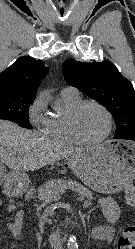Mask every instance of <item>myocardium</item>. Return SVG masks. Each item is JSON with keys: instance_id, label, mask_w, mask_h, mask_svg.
Instances as JSON below:
<instances>
[{"instance_id": "f54148a6", "label": "myocardium", "mask_w": 135, "mask_h": 249, "mask_svg": "<svg viewBox=\"0 0 135 249\" xmlns=\"http://www.w3.org/2000/svg\"><path fill=\"white\" fill-rule=\"evenodd\" d=\"M89 106L97 107L104 113V115L107 118L108 127H107L105 134L96 139H88L84 137L78 128V118L81 112L86 107H89ZM69 128H70V132L72 136L75 138V140L78 143L85 144V145H96V144L103 142L110 136L112 129H113V117H112L111 112L101 103L96 102V101H83L78 106H76L75 109L71 112L69 116Z\"/></svg>"}]
</instances>
